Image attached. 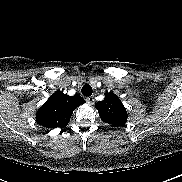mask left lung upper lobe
Masks as SVG:
<instances>
[{"instance_id": "left-lung-upper-lobe-1", "label": "left lung upper lobe", "mask_w": 182, "mask_h": 182, "mask_svg": "<svg viewBox=\"0 0 182 182\" xmlns=\"http://www.w3.org/2000/svg\"><path fill=\"white\" fill-rule=\"evenodd\" d=\"M101 120L113 126H123L127 122V111L121 100L113 92L105 94V98L95 104Z\"/></svg>"}]
</instances>
